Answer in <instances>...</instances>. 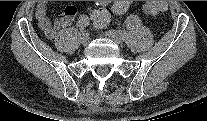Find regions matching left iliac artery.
<instances>
[{"label":"left iliac artery","instance_id":"44dca946","mask_svg":"<svg viewBox=\"0 0 207 121\" xmlns=\"http://www.w3.org/2000/svg\"><path fill=\"white\" fill-rule=\"evenodd\" d=\"M139 20H140L139 17L137 15H135V14L132 15V16L130 15V16L127 17V22L130 23V24L131 23H135L136 24V23L139 22Z\"/></svg>","mask_w":207,"mask_h":121}]
</instances>
